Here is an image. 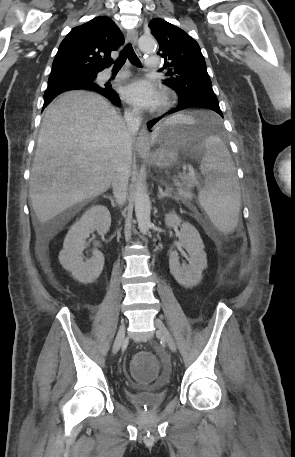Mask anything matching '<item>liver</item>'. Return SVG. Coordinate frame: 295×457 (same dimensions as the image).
<instances>
[{"label":"liver","instance_id":"6515ba94","mask_svg":"<svg viewBox=\"0 0 295 457\" xmlns=\"http://www.w3.org/2000/svg\"><path fill=\"white\" fill-rule=\"evenodd\" d=\"M125 121L102 96L71 91L48 107L31 169L29 196L41 223L106 192L118 159L132 163Z\"/></svg>","mask_w":295,"mask_h":457}]
</instances>
